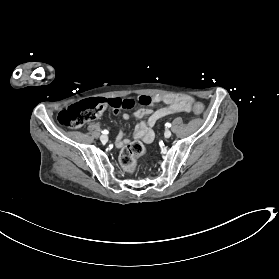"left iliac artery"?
<instances>
[{"mask_svg":"<svg viewBox=\"0 0 279 279\" xmlns=\"http://www.w3.org/2000/svg\"><path fill=\"white\" fill-rule=\"evenodd\" d=\"M165 126L166 127H171V124L170 123H166Z\"/></svg>","mask_w":279,"mask_h":279,"instance_id":"1","label":"left iliac artery"}]
</instances>
